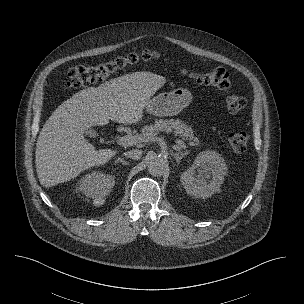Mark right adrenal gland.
Here are the masks:
<instances>
[{"mask_svg": "<svg viewBox=\"0 0 304 304\" xmlns=\"http://www.w3.org/2000/svg\"><path fill=\"white\" fill-rule=\"evenodd\" d=\"M118 162L122 163V165H129V162L125 161L124 158H118L116 160V163Z\"/></svg>", "mask_w": 304, "mask_h": 304, "instance_id": "obj_1", "label": "right adrenal gland"}]
</instances>
